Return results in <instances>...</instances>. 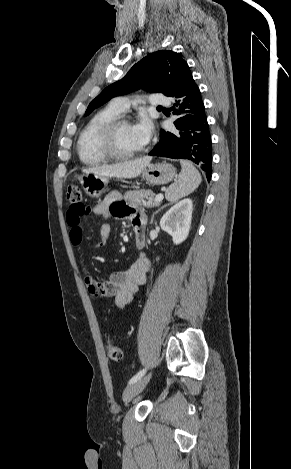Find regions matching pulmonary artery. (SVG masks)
Wrapping results in <instances>:
<instances>
[{
    "instance_id": "e3ab8cb5",
    "label": "pulmonary artery",
    "mask_w": 291,
    "mask_h": 469,
    "mask_svg": "<svg viewBox=\"0 0 291 469\" xmlns=\"http://www.w3.org/2000/svg\"><path fill=\"white\" fill-rule=\"evenodd\" d=\"M149 104L154 107L167 106L170 104V99L162 94H152L149 97ZM111 105L119 112H124L129 108L130 101L127 97H116L112 100Z\"/></svg>"
}]
</instances>
